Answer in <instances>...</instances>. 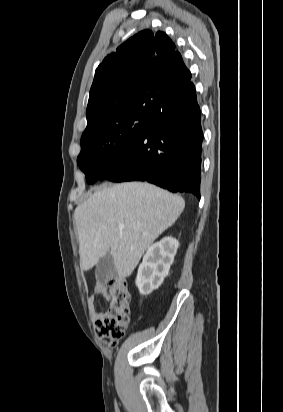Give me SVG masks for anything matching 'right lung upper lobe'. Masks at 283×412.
Returning <instances> with one entry per match:
<instances>
[{
	"mask_svg": "<svg viewBox=\"0 0 283 412\" xmlns=\"http://www.w3.org/2000/svg\"><path fill=\"white\" fill-rule=\"evenodd\" d=\"M190 78L180 53L165 33L150 30L137 33L96 69L83 135L135 104L150 100L164 103Z\"/></svg>",
	"mask_w": 283,
	"mask_h": 412,
	"instance_id": "cb5924a9",
	"label": "right lung upper lobe"
}]
</instances>
